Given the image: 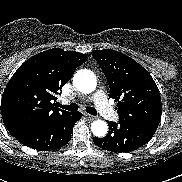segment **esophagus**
<instances>
[{
    "instance_id": "1",
    "label": "esophagus",
    "mask_w": 182,
    "mask_h": 182,
    "mask_svg": "<svg viewBox=\"0 0 182 182\" xmlns=\"http://www.w3.org/2000/svg\"><path fill=\"white\" fill-rule=\"evenodd\" d=\"M86 117L90 121L97 119V116H91V115H88V114H86Z\"/></svg>"
}]
</instances>
